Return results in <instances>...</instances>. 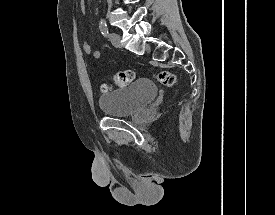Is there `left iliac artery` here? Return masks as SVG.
Returning a JSON list of instances; mask_svg holds the SVG:
<instances>
[{
	"mask_svg": "<svg viewBox=\"0 0 275 215\" xmlns=\"http://www.w3.org/2000/svg\"><path fill=\"white\" fill-rule=\"evenodd\" d=\"M99 28H100L102 35L106 37L108 35V28H107V24H106L105 20H103V19L100 20Z\"/></svg>",
	"mask_w": 275,
	"mask_h": 215,
	"instance_id": "obj_1",
	"label": "left iliac artery"
}]
</instances>
